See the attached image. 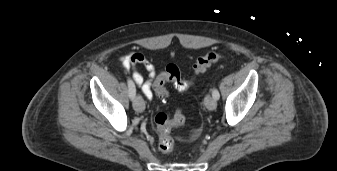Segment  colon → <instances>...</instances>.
<instances>
[{
	"label": "colon",
	"instance_id": "obj_1",
	"mask_svg": "<svg viewBox=\"0 0 337 171\" xmlns=\"http://www.w3.org/2000/svg\"><path fill=\"white\" fill-rule=\"evenodd\" d=\"M222 57L223 56L220 53L215 51L205 53L194 63V74L198 75L203 73L208 67L220 60ZM167 82L173 83L177 90L185 91L194 85V78H183L179 68L174 64H169L166 66L164 72L159 75L153 87L155 93L159 97H167ZM184 120V114L179 109L174 112L172 117H169L167 114L162 112L155 115L154 123L158 135V148L161 153L169 154L172 152L174 141L171 136V130L183 124Z\"/></svg>",
	"mask_w": 337,
	"mask_h": 171
}]
</instances>
